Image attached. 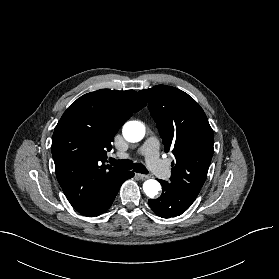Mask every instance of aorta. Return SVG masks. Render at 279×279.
I'll list each match as a JSON object with an SVG mask.
<instances>
[{"label":"aorta","mask_w":279,"mask_h":279,"mask_svg":"<svg viewBox=\"0 0 279 279\" xmlns=\"http://www.w3.org/2000/svg\"><path fill=\"white\" fill-rule=\"evenodd\" d=\"M122 133L124 138L128 142H139L145 136V127L141 122L129 121L124 124ZM160 189V183L154 179L146 180L143 184V190L145 194L150 198L155 197L160 191Z\"/></svg>","instance_id":"obj_1"}]
</instances>
